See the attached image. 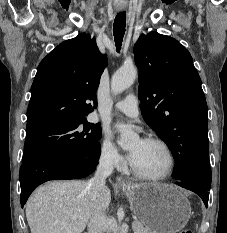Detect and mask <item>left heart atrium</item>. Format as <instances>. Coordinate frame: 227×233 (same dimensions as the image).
Returning a JSON list of instances; mask_svg holds the SVG:
<instances>
[{
    "label": "left heart atrium",
    "instance_id": "39dd6f15",
    "mask_svg": "<svg viewBox=\"0 0 227 233\" xmlns=\"http://www.w3.org/2000/svg\"><path fill=\"white\" fill-rule=\"evenodd\" d=\"M132 154H133V152L130 150L129 154H128L129 159L132 157Z\"/></svg>",
    "mask_w": 227,
    "mask_h": 233
}]
</instances>
